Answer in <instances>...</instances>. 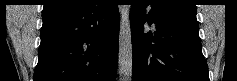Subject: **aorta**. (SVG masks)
I'll list each match as a JSON object with an SVG mask.
<instances>
[{
    "instance_id": "obj_1",
    "label": "aorta",
    "mask_w": 237,
    "mask_h": 81,
    "mask_svg": "<svg viewBox=\"0 0 237 81\" xmlns=\"http://www.w3.org/2000/svg\"><path fill=\"white\" fill-rule=\"evenodd\" d=\"M120 11V32H119V79L120 81H131L132 78V41L130 28V6L122 5Z\"/></svg>"
}]
</instances>
